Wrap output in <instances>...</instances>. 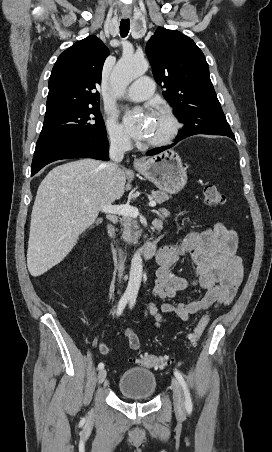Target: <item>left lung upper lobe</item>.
<instances>
[{"label": "left lung upper lobe", "mask_w": 272, "mask_h": 452, "mask_svg": "<svg viewBox=\"0 0 272 452\" xmlns=\"http://www.w3.org/2000/svg\"><path fill=\"white\" fill-rule=\"evenodd\" d=\"M153 74L165 88L184 129L206 134L231 132L209 76V67L194 41L176 30L157 28L146 45Z\"/></svg>", "instance_id": "obj_1"}]
</instances>
